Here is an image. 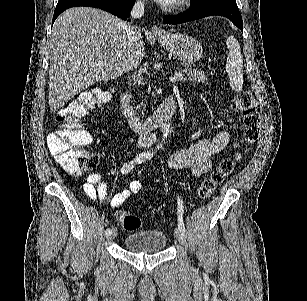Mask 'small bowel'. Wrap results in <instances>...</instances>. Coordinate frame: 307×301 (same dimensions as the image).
Returning a JSON list of instances; mask_svg holds the SVG:
<instances>
[{"label": "small bowel", "mask_w": 307, "mask_h": 301, "mask_svg": "<svg viewBox=\"0 0 307 301\" xmlns=\"http://www.w3.org/2000/svg\"><path fill=\"white\" fill-rule=\"evenodd\" d=\"M232 123L234 121L231 120ZM230 142V135L226 131L218 132L212 139H201L188 148L176 151L170 158L169 164L174 168L190 169L195 176H201L213 168L212 157L222 151ZM239 147L238 143L234 144ZM141 190L139 182H132L128 188L115 194L110 206L119 207L132 195ZM83 191L93 202L107 200V184L102 181L100 173L94 172L88 175L83 185Z\"/></svg>", "instance_id": "obj_1"}]
</instances>
